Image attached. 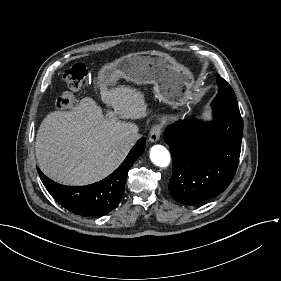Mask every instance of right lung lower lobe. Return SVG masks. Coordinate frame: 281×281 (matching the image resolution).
Returning a JSON list of instances; mask_svg holds the SVG:
<instances>
[{
	"label": "right lung lower lobe",
	"instance_id": "1",
	"mask_svg": "<svg viewBox=\"0 0 281 281\" xmlns=\"http://www.w3.org/2000/svg\"><path fill=\"white\" fill-rule=\"evenodd\" d=\"M145 139L138 140L123 163L100 182L86 186H65L46 177L39 169L40 178L48 192L69 211L82 216H102L120 202L127 174L136 159L145 150Z\"/></svg>",
	"mask_w": 281,
	"mask_h": 281
}]
</instances>
